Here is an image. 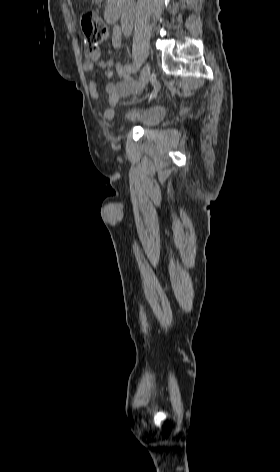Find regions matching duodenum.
I'll return each instance as SVG.
<instances>
[{
	"label": "duodenum",
	"mask_w": 280,
	"mask_h": 472,
	"mask_svg": "<svg viewBox=\"0 0 280 472\" xmlns=\"http://www.w3.org/2000/svg\"><path fill=\"white\" fill-rule=\"evenodd\" d=\"M125 0H109L105 11V19L109 24H114L120 17Z\"/></svg>",
	"instance_id": "duodenum-1"
}]
</instances>
